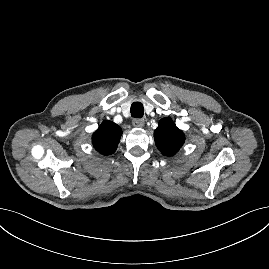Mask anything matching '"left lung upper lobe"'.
Segmentation results:
<instances>
[{"label":"left lung upper lobe","mask_w":269,"mask_h":269,"mask_svg":"<svg viewBox=\"0 0 269 269\" xmlns=\"http://www.w3.org/2000/svg\"><path fill=\"white\" fill-rule=\"evenodd\" d=\"M155 144L159 151L166 156H173L182 147L185 137L171 118L160 120L158 128L154 131Z\"/></svg>","instance_id":"5c2ea615"}]
</instances>
